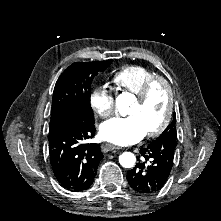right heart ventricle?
Masks as SVG:
<instances>
[{
    "instance_id": "e07e8e85",
    "label": "right heart ventricle",
    "mask_w": 221,
    "mask_h": 221,
    "mask_svg": "<svg viewBox=\"0 0 221 221\" xmlns=\"http://www.w3.org/2000/svg\"><path fill=\"white\" fill-rule=\"evenodd\" d=\"M159 76L157 72L140 65L125 66L110 77L116 90L137 95L144 84L151 78Z\"/></svg>"
}]
</instances>
